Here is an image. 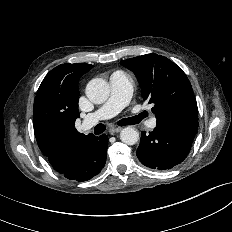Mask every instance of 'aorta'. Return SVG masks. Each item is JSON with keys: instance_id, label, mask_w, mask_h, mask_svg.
Here are the masks:
<instances>
[{"instance_id": "762f6f07", "label": "aorta", "mask_w": 232, "mask_h": 232, "mask_svg": "<svg viewBox=\"0 0 232 232\" xmlns=\"http://www.w3.org/2000/svg\"><path fill=\"white\" fill-rule=\"evenodd\" d=\"M109 94V84L102 78H94L86 86V95L95 104L104 103ZM120 140L127 145H134L139 140V132L133 127H126L120 133Z\"/></svg>"}]
</instances>
